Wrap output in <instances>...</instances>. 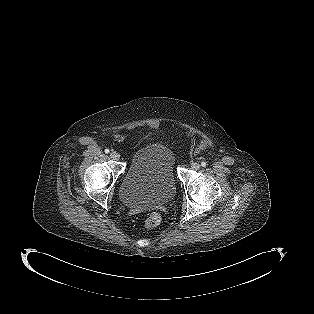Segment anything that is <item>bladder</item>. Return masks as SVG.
<instances>
[{
	"label": "bladder",
	"instance_id": "obj_1",
	"mask_svg": "<svg viewBox=\"0 0 314 314\" xmlns=\"http://www.w3.org/2000/svg\"><path fill=\"white\" fill-rule=\"evenodd\" d=\"M176 193L175 158L162 145L140 149L124 174L120 197L130 208L154 209L170 202Z\"/></svg>",
	"mask_w": 314,
	"mask_h": 314
}]
</instances>
